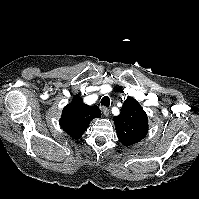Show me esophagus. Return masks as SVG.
<instances>
[{"mask_svg":"<svg viewBox=\"0 0 199 199\" xmlns=\"http://www.w3.org/2000/svg\"><path fill=\"white\" fill-rule=\"evenodd\" d=\"M102 112L105 116H108L109 115V109L107 107H102Z\"/></svg>","mask_w":199,"mask_h":199,"instance_id":"obj_1","label":"esophagus"}]
</instances>
